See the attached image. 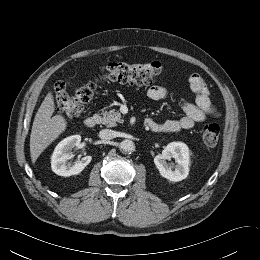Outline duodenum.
Returning <instances> with one entry per match:
<instances>
[{
    "instance_id": "1",
    "label": "duodenum",
    "mask_w": 260,
    "mask_h": 260,
    "mask_svg": "<svg viewBox=\"0 0 260 260\" xmlns=\"http://www.w3.org/2000/svg\"><path fill=\"white\" fill-rule=\"evenodd\" d=\"M99 117L98 116H89L84 120V126L87 128H93L98 123ZM144 125L146 127H151L152 123L150 119H146L144 122Z\"/></svg>"
}]
</instances>
